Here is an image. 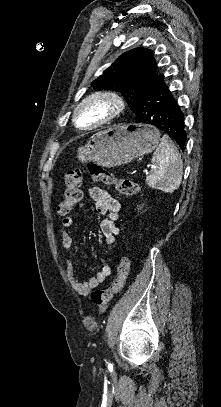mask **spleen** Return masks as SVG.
<instances>
[{
    "label": "spleen",
    "mask_w": 221,
    "mask_h": 407,
    "mask_svg": "<svg viewBox=\"0 0 221 407\" xmlns=\"http://www.w3.org/2000/svg\"><path fill=\"white\" fill-rule=\"evenodd\" d=\"M153 168L146 177L149 187L165 193L178 189L183 175V161L173 141L164 135L152 157Z\"/></svg>",
    "instance_id": "obj_1"
}]
</instances>
